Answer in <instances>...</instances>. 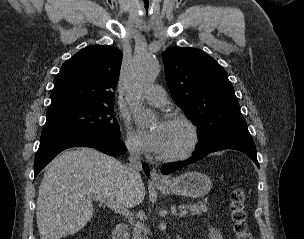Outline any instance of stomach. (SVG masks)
Returning <instances> with one entry per match:
<instances>
[{"instance_id": "stomach-1", "label": "stomach", "mask_w": 304, "mask_h": 239, "mask_svg": "<svg viewBox=\"0 0 304 239\" xmlns=\"http://www.w3.org/2000/svg\"><path fill=\"white\" fill-rule=\"evenodd\" d=\"M157 188L165 194L199 198L210 191L212 181L204 173L190 171L168 180L165 184L157 185Z\"/></svg>"}]
</instances>
